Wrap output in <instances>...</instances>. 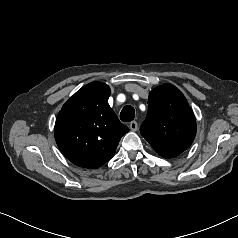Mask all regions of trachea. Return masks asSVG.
Here are the masks:
<instances>
[{
    "mask_svg": "<svg viewBox=\"0 0 238 238\" xmlns=\"http://www.w3.org/2000/svg\"><path fill=\"white\" fill-rule=\"evenodd\" d=\"M135 117V110L132 106H125L121 113H120V119L123 122H130L134 119Z\"/></svg>",
    "mask_w": 238,
    "mask_h": 238,
    "instance_id": "1",
    "label": "trachea"
}]
</instances>
